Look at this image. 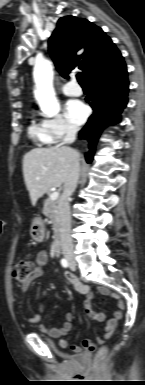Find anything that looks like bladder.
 Returning <instances> with one entry per match:
<instances>
[{
    "mask_svg": "<svg viewBox=\"0 0 145 385\" xmlns=\"http://www.w3.org/2000/svg\"><path fill=\"white\" fill-rule=\"evenodd\" d=\"M51 346H55V344L53 342H50ZM81 360H85V357L84 356H81L80 357Z\"/></svg>",
    "mask_w": 145,
    "mask_h": 385,
    "instance_id": "bladder-1",
    "label": "bladder"
}]
</instances>
